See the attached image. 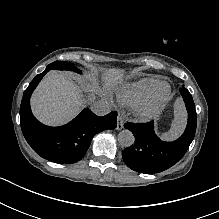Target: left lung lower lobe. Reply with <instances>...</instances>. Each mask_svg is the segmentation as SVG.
Returning <instances> with one entry per match:
<instances>
[{
	"label": "left lung lower lobe",
	"instance_id": "left-lung-lower-lobe-1",
	"mask_svg": "<svg viewBox=\"0 0 219 219\" xmlns=\"http://www.w3.org/2000/svg\"><path fill=\"white\" fill-rule=\"evenodd\" d=\"M188 112V124L183 135L172 142L162 141L154 132L153 122L126 123L135 143L122 151L125 164L144 174L162 172L176 164L188 150L196 132V110L193 98L184 87L180 89Z\"/></svg>",
	"mask_w": 219,
	"mask_h": 219
}]
</instances>
